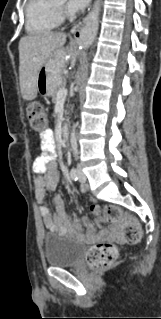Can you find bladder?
<instances>
[{"instance_id":"31cf9c89","label":"bladder","mask_w":161,"mask_h":319,"mask_svg":"<svg viewBox=\"0 0 161 319\" xmlns=\"http://www.w3.org/2000/svg\"><path fill=\"white\" fill-rule=\"evenodd\" d=\"M84 244L71 236L47 234L43 241L44 261L48 266L75 265L84 252Z\"/></svg>"}]
</instances>
